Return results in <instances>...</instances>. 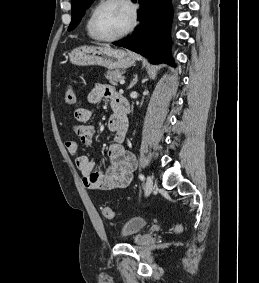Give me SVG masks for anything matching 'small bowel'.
I'll return each mask as SVG.
<instances>
[{
	"label": "small bowel",
	"instance_id": "1",
	"mask_svg": "<svg viewBox=\"0 0 259 283\" xmlns=\"http://www.w3.org/2000/svg\"><path fill=\"white\" fill-rule=\"evenodd\" d=\"M119 94L109 85L96 84L89 92L87 100L90 104H98L103 99L109 101L114 114L108 120V129L112 133L113 142L107 152L109 165L100 167L88 156L80 155V148L76 141H67V152L75 157L76 166L83 176V183L90 190H119L129 186L133 179V172L137 166L135 156L123 146L127 125L118 122L116 105ZM93 116V110L80 107L74 112L75 122L71 129L83 146L91 144L95 130L88 122Z\"/></svg>",
	"mask_w": 259,
	"mask_h": 283
}]
</instances>
